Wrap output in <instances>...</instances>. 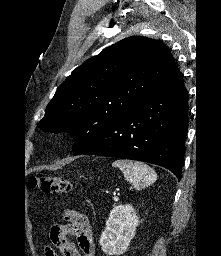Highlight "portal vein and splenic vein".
<instances>
[{
    "label": "portal vein and splenic vein",
    "instance_id": "18ae733b",
    "mask_svg": "<svg viewBox=\"0 0 221 256\" xmlns=\"http://www.w3.org/2000/svg\"><path fill=\"white\" fill-rule=\"evenodd\" d=\"M113 200H114V201H119V198H118L117 196H114V197H113Z\"/></svg>",
    "mask_w": 221,
    "mask_h": 256
}]
</instances>
